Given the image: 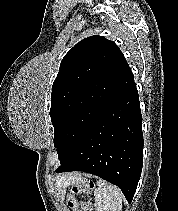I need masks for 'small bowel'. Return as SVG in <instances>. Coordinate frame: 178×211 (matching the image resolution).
Masks as SVG:
<instances>
[{
    "label": "small bowel",
    "instance_id": "c3829d8e",
    "mask_svg": "<svg viewBox=\"0 0 178 211\" xmlns=\"http://www.w3.org/2000/svg\"><path fill=\"white\" fill-rule=\"evenodd\" d=\"M89 210H91V208H87V209H80V210L75 209V211H89Z\"/></svg>",
    "mask_w": 178,
    "mask_h": 211
}]
</instances>
